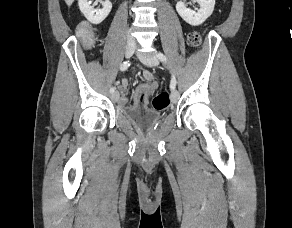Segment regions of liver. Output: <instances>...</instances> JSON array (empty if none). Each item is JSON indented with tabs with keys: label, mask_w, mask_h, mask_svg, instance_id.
Instances as JSON below:
<instances>
[{
	"label": "liver",
	"mask_w": 292,
	"mask_h": 228,
	"mask_svg": "<svg viewBox=\"0 0 292 228\" xmlns=\"http://www.w3.org/2000/svg\"><path fill=\"white\" fill-rule=\"evenodd\" d=\"M73 2H74V0H65V3H66L68 6H71Z\"/></svg>",
	"instance_id": "obj_1"
}]
</instances>
